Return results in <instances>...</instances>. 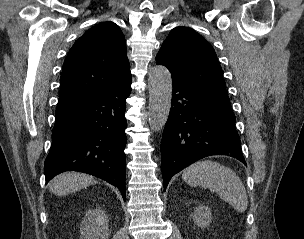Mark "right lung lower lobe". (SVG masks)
<instances>
[{
	"label": "right lung lower lobe",
	"mask_w": 304,
	"mask_h": 239,
	"mask_svg": "<svg viewBox=\"0 0 304 239\" xmlns=\"http://www.w3.org/2000/svg\"><path fill=\"white\" fill-rule=\"evenodd\" d=\"M131 76L106 91L55 112L53 143L46 158V182L64 171H79L115 185L124 201L127 121L125 100Z\"/></svg>",
	"instance_id": "1"
}]
</instances>
